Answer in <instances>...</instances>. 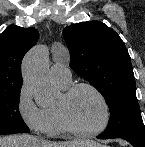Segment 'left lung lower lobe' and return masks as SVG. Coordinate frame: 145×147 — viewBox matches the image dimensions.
Masks as SVG:
<instances>
[{"label":"left lung lower lobe","mask_w":145,"mask_h":147,"mask_svg":"<svg viewBox=\"0 0 145 147\" xmlns=\"http://www.w3.org/2000/svg\"><path fill=\"white\" fill-rule=\"evenodd\" d=\"M98 139H112L113 137H108V136H104V135H99L97 136ZM125 140H127L133 147H144L145 145V141H140V140H136V139H132V138H124Z\"/></svg>","instance_id":"obj_1"}]
</instances>
